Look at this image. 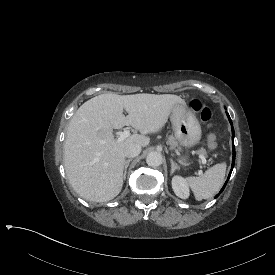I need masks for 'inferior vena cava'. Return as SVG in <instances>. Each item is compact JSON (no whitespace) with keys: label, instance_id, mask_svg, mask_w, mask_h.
Returning <instances> with one entry per match:
<instances>
[{"label":"inferior vena cava","instance_id":"1","mask_svg":"<svg viewBox=\"0 0 275 275\" xmlns=\"http://www.w3.org/2000/svg\"><path fill=\"white\" fill-rule=\"evenodd\" d=\"M141 152V146L136 143H130L124 148V156L128 158L136 157Z\"/></svg>","mask_w":275,"mask_h":275}]
</instances>
